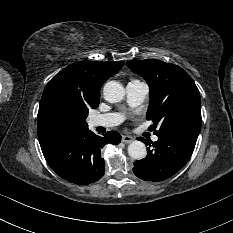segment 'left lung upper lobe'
Segmentation results:
<instances>
[{
  "label": "left lung upper lobe",
  "mask_w": 233,
  "mask_h": 233,
  "mask_svg": "<svg viewBox=\"0 0 233 233\" xmlns=\"http://www.w3.org/2000/svg\"><path fill=\"white\" fill-rule=\"evenodd\" d=\"M126 64L149 85L150 102L146 118L154 122L156 135L184 127H201L200 94L182 68L157 60L129 61Z\"/></svg>",
  "instance_id": "1"
}]
</instances>
